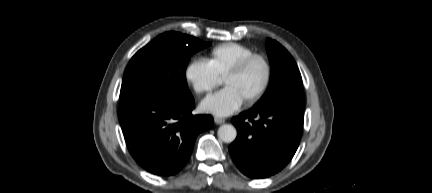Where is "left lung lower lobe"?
<instances>
[{"label":"left lung lower lobe","instance_id":"left-lung-lower-lobe-1","mask_svg":"<svg viewBox=\"0 0 432 193\" xmlns=\"http://www.w3.org/2000/svg\"><path fill=\"white\" fill-rule=\"evenodd\" d=\"M237 138L229 146L238 169L251 178L269 177L295 154L303 127V110L278 104L254 107L232 118Z\"/></svg>","mask_w":432,"mask_h":193}]
</instances>
